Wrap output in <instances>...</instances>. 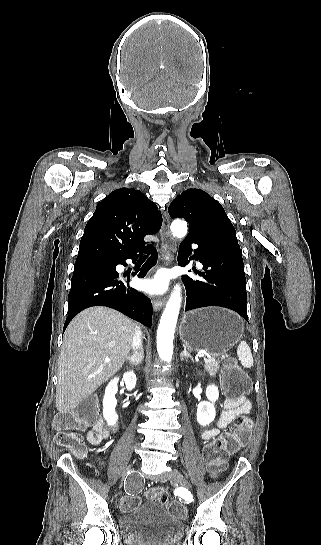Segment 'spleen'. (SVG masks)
<instances>
[{"instance_id": "1", "label": "spleen", "mask_w": 321, "mask_h": 545, "mask_svg": "<svg viewBox=\"0 0 321 545\" xmlns=\"http://www.w3.org/2000/svg\"><path fill=\"white\" fill-rule=\"evenodd\" d=\"M237 355L244 369H250V367H253L252 353L250 351L249 345H247L245 341H241L240 345H238Z\"/></svg>"}]
</instances>
